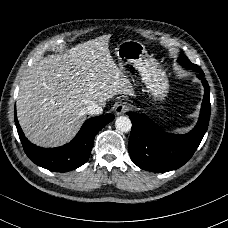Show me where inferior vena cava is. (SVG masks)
Masks as SVG:
<instances>
[{"label":"inferior vena cava","instance_id":"602c4592","mask_svg":"<svg viewBox=\"0 0 228 228\" xmlns=\"http://www.w3.org/2000/svg\"><path fill=\"white\" fill-rule=\"evenodd\" d=\"M102 112H103V108L97 103H93L92 105H89L85 109V113L90 115H98V114H101Z\"/></svg>","mask_w":228,"mask_h":228}]
</instances>
